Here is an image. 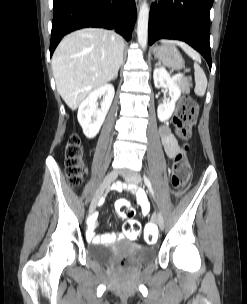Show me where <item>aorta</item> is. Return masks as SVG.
<instances>
[{
  "instance_id": "762f6f07",
  "label": "aorta",
  "mask_w": 247,
  "mask_h": 304,
  "mask_svg": "<svg viewBox=\"0 0 247 304\" xmlns=\"http://www.w3.org/2000/svg\"><path fill=\"white\" fill-rule=\"evenodd\" d=\"M148 20H149V7L144 2L139 11L137 23V38L139 45L145 49L148 41Z\"/></svg>"
}]
</instances>
